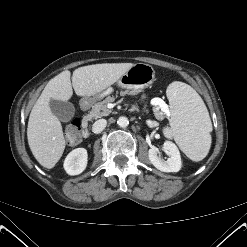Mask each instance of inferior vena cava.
<instances>
[{
	"label": "inferior vena cava",
	"mask_w": 247,
	"mask_h": 247,
	"mask_svg": "<svg viewBox=\"0 0 247 247\" xmlns=\"http://www.w3.org/2000/svg\"><path fill=\"white\" fill-rule=\"evenodd\" d=\"M107 125V121L105 119H99L95 121L92 125V131L96 134L101 133Z\"/></svg>",
	"instance_id": "obj_1"
}]
</instances>
